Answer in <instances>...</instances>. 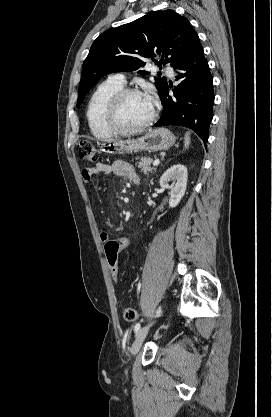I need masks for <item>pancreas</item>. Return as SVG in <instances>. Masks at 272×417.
Here are the masks:
<instances>
[{"instance_id": "obj_1", "label": "pancreas", "mask_w": 272, "mask_h": 417, "mask_svg": "<svg viewBox=\"0 0 272 417\" xmlns=\"http://www.w3.org/2000/svg\"><path fill=\"white\" fill-rule=\"evenodd\" d=\"M151 163L152 159L150 157H142L136 166L141 169V172L147 174L156 170L155 168H151Z\"/></svg>"}]
</instances>
